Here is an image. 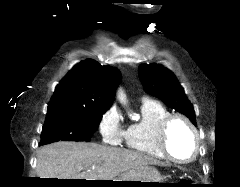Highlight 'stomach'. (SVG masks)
Instances as JSON below:
<instances>
[{"label": "stomach", "mask_w": 240, "mask_h": 187, "mask_svg": "<svg viewBox=\"0 0 240 187\" xmlns=\"http://www.w3.org/2000/svg\"><path fill=\"white\" fill-rule=\"evenodd\" d=\"M111 181V186L120 187H158L161 182V175L153 166H144L122 174L118 179ZM141 182H158V183H141Z\"/></svg>", "instance_id": "stomach-1"}]
</instances>
